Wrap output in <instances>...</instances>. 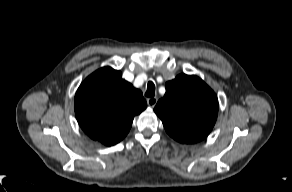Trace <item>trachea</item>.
Wrapping results in <instances>:
<instances>
[{"label": "trachea", "instance_id": "1", "mask_svg": "<svg viewBox=\"0 0 292 192\" xmlns=\"http://www.w3.org/2000/svg\"><path fill=\"white\" fill-rule=\"evenodd\" d=\"M154 95H155V85L152 81H150V82H148L147 91L145 93V96L154 97Z\"/></svg>", "mask_w": 292, "mask_h": 192}]
</instances>
